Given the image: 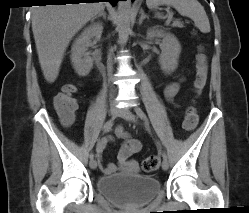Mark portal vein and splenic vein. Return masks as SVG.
Wrapping results in <instances>:
<instances>
[{"mask_svg": "<svg viewBox=\"0 0 249 213\" xmlns=\"http://www.w3.org/2000/svg\"><path fill=\"white\" fill-rule=\"evenodd\" d=\"M169 17L172 18V14H170Z\"/></svg>", "mask_w": 249, "mask_h": 213, "instance_id": "1", "label": "portal vein and splenic vein"}]
</instances>
